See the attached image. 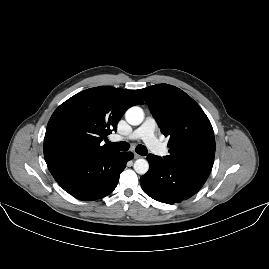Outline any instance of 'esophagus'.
Wrapping results in <instances>:
<instances>
[{"mask_svg":"<svg viewBox=\"0 0 269 269\" xmlns=\"http://www.w3.org/2000/svg\"><path fill=\"white\" fill-rule=\"evenodd\" d=\"M142 156H140L139 154H137V153H134V158L135 159H139V158H141Z\"/></svg>","mask_w":269,"mask_h":269,"instance_id":"esophagus-1","label":"esophagus"}]
</instances>
